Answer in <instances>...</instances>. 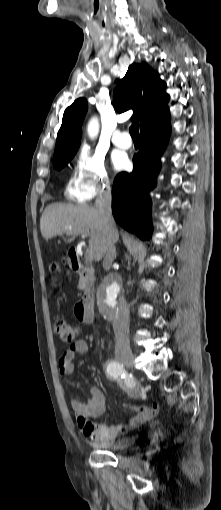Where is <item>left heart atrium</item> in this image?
Here are the masks:
<instances>
[{"label": "left heart atrium", "mask_w": 221, "mask_h": 510, "mask_svg": "<svg viewBox=\"0 0 221 510\" xmlns=\"http://www.w3.org/2000/svg\"><path fill=\"white\" fill-rule=\"evenodd\" d=\"M113 164H114L116 169H121V168H123L125 166L126 159H125V157L122 154L116 153L113 156Z\"/></svg>", "instance_id": "obj_1"}]
</instances>
